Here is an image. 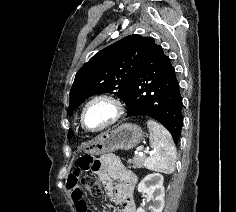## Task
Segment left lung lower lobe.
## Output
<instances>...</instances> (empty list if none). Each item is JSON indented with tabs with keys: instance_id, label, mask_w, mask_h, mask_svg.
Returning <instances> with one entry per match:
<instances>
[{
	"instance_id": "1",
	"label": "left lung lower lobe",
	"mask_w": 236,
	"mask_h": 212,
	"mask_svg": "<svg viewBox=\"0 0 236 212\" xmlns=\"http://www.w3.org/2000/svg\"><path fill=\"white\" fill-rule=\"evenodd\" d=\"M123 102L127 117L141 115L157 120L178 143L183 124L179 82L169 57L152 38Z\"/></svg>"
}]
</instances>
